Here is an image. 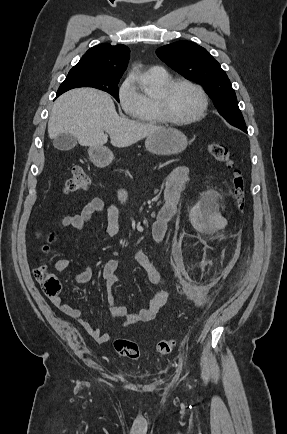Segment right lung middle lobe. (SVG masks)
I'll return each instance as SVG.
<instances>
[{
    "instance_id": "1",
    "label": "right lung middle lobe",
    "mask_w": 287,
    "mask_h": 434,
    "mask_svg": "<svg viewBox=\"0 0 287 434\" xmlns=\"http://www.w3.org/2000/svg\"><path fill=\"white\" fill-rule=\"evenodd\" d=\"M120 78L92 76L77 72H69L65 81L57 91V97L62 93L78 87H93L111 94L119 102L118 83Z\"/></svg>"
}]
</instances>
